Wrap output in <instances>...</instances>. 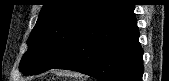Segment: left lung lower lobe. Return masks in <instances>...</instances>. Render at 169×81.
Instances as JSON below:
<instances>
[{"mask_svg":"<svg viewBox=\"0 0 169 81\" xmlns=\"http://www.w3.org/2000/svg\"><path fill=\"white\" fill-rule=\"evenodd\" d=\"M130 0H116L79 35L53 68L77 71L101 81H141L143 50Z\"/></svg>","mask_w":169,"mask_h":81,"instance_id":"obj_1","label":"left lung lower lobe"}]
</instances>
